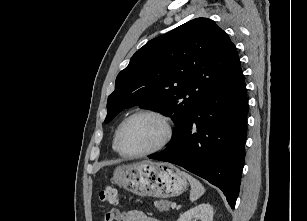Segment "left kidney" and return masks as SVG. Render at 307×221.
<instances>
[{"label": "left kidney", "mask_w": 307, "mask_h": 221, "mask_svg": "<svg viewBox=\"0 0 307 221\" xmlns=\"http://www.w3.org/2000/svg\"><path fill=\"white\" fill-rule=\"evenodd\" d=\"M213 221V208L210 204H200L181 214L177 221Z\"/></svg>", "instance_id": "1"}]
</instances>
